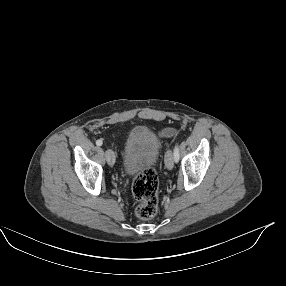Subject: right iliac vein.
Instances as JSON below:
<instances>
[{
    "label": "right iliac vein",
    "mask_w": 286,
    "mask_h": 286,
    "mask_svg": "<svg viewBox=\"0 0 286 286\" xmlns=\"http://www.w3.org/2000/svg\"><path fill=\"white\" fill-rule=\"evenodd\" d=\"M105 156H106L107 163L110 166H113L115 164V154H114V152L112 150L108 149L105 152Z\"/></svg>",
    "instance_id": "1"
}]
</instances>
